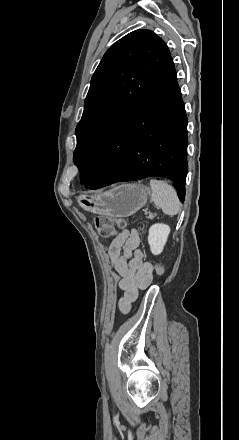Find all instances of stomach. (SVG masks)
Returning <instances> with one entry per match:
<instances>
[{"instance_id":"0dacf381","label":"stomach","mask_w":239,"mask_h":440,"mask_svg":"<svg viewBox=\"0 0 239 440\" xmlns=\"http://www.w3.org/2000/svg\"><path fill=\"white\" fill-rule=\"evenodd\" d=\"M150 194L147 186L141 184H122L109 192H101L97 196H79L78 204L91 214L112 216V218H128L147 204Z\"/></svg>"}]
</instances>
